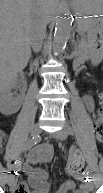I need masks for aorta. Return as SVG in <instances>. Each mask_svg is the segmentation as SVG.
<instances>
[{
  "instance_id": "1",
  "label": "aorta",
  "mask_w": 103,
  "mask_h": 193,
  "mask_svg": "<svg viewBox=\"0 0 103 193\" xmlns=\"http://www.w3.org/2000/svg\"><path fill=\"white\" fill-rule=\"evenodd\" d=\"M72 20L70 10L66 4L59 7L58 17L55 22L53 49L55 52H62L66 47L71 33Z\"/></svg>"
}]
</instances>
